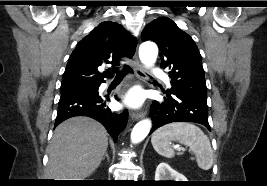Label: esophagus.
Listing matches in <instances>:
<instances>
[{
	"instance_id": "34e87169",
	"label": "esophagus",
	"mask_w": 267,
	"mask_h": 186,
	"mask_svg": "<svg viewBox=\"0 0 267 186\" xmlns=\"http://www.w3.org/2000/svg\"><path fill=\"white\" fill-rule=\"evenodd\" d=\"M134 72H135V75L137 76L138 79H145L146 78L145 70H144L143 66L141 65V63L139 62L137 57H135ZM147 110H148V106H145L142 110L133 112L131 114V118L133 120L142 119L146 116Z\"/></svg>"
}]
</instances>
